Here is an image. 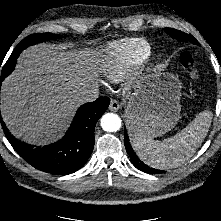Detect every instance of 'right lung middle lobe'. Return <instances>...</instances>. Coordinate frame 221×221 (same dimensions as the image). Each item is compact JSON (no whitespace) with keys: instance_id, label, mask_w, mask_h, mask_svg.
I'll list each match as a JSON object with an SVG mask.
<instances>
[{"instance_id":"1","label":"right lung middle lobe","mask_w":221,"mask_h":221,"mask_svg":"<svg viewBox=\"0 0 221 221\" xmlns=\"http://www.w3.org/2000/svg\"><path fill=\"white\" fill-rule=\"evenodd\" d=\"M60 38V35H55L51 33H43V34H33L28 37H26L22 42L21 46H24V49L27 48L30 45H34L39 42L46 41L48 39H57ZM15 63L12 61H9L3 68L1 78L4 79L6 76H8L14 69Z\"/></svg>"}]
</instances>
